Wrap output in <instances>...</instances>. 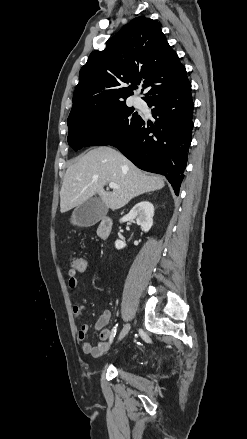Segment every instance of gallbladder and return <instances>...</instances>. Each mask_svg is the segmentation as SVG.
Segmentation results:
<instances>
[{"mask_svg": "<svg viewBox=\"0 0 247 439\" xmlns=\"http://www.w3.org/2000/svg\"><path fill=\"white\" fill-rule=\"evenodd\" d=\"M107 210L100 198L92 197L74 209L71 223L81 227L93 226L106 215Z\"/></svg>", "mask_w": 247, "mask_h": 439, "instance_id": "obj_1", "label": "gallbladder"}]
</instances>
